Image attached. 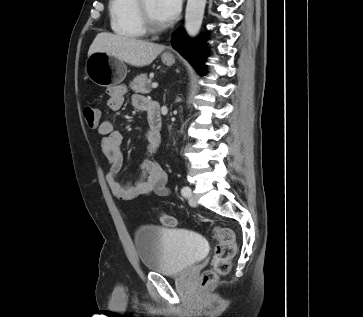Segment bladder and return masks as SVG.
<instances>
[{
    "label": "bladder",
    "mask_w": 363,
    "mask_h": 317,
    "mask_svg": "<svg viewBox=\"0 0 363 317\" xmlns=\"http://www.w3.org/2000/svg\"><path fill=\"white\" fill-rule=\"evenodd\" d=\"M142 267L163 275H178L206 256L208 243L200 233L182 228L147 225L134 233Z\"/></svg>",
    "instance_id": "obj_1"
}]
</instances>
